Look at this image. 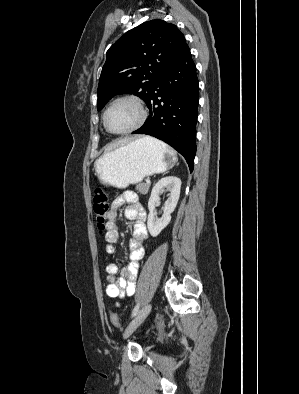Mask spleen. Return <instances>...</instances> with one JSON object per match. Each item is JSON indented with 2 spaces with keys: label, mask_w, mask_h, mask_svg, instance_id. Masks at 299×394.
<instances>
[{
  "label": "spleen",
  "mask_w": 299,
  "mask_h": 394,
  "mask_svg": "<svg viewBox=\"0 0 299 394\" xmlns=\"http://www.w3.org/2000/svg\"><path fill=\"white\" fill-rule=\"evenodd\" d=\"M155 140V142L156 143H161L164 147H167L164 143H162V142H160V141H158V140H156V139H154ZM172 151V150H171Z\"/></svg>",
  "instance_id": "1"
}]
</instances>
